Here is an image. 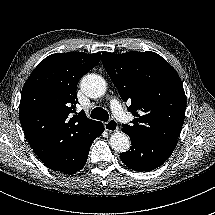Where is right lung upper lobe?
<instances>
[{
	"mask_svg": "<svg viewBox=\"0 0 215 215\" xmlns=\"http://www.w3.org/2000/svg\"><path fill=\"white\" fill-rule=\"evenodd\" d=\"M101 53H55L43 59L25 82L19 107L21 126L33 151L48 166L65 162L69 145L97 121L76 112L77 83Z\"/></svg>",
	"mask_w": 215,
	"mask_h": 215,
	"instance_id": "1",
	"label": "right lung upper lobe"
}]
</instances>
